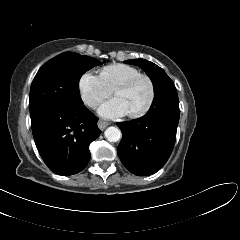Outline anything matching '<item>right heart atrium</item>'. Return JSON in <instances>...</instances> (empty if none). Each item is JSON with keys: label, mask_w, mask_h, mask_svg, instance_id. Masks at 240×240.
Wrapping results in <instances>:
<instances>
[{"label": "right heart atrium", "mask_w": 240, "mask_h": 240, "mask_svg": "<svg viewBox=\"0 0 240 240\" xmlns=\"http://www.w3.org/2000/svg\"><path fill=\"white\" fill-rule=\"evenodd\" d=\"M78 89L82 101L90 108H96L113 92L100 75L92 72L82 74L78 81Z\"/></svg>", "instance_id": "1"}]
</instances>
